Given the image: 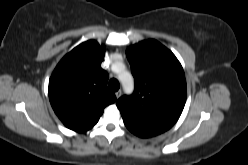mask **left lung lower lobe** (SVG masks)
<instances>
[{
	"label": "left lung lower lobe",
	"instance_id": "1",
	"mask_svg": "<svg viewBox=\"0 0 248 165\" xmlns=\"http://www.w3.org/2000/svg\"><path fill=\"white\" fill-rule=\"evenodd\" d=\"M126 127L135 135L139 136V137H143V138H146V137H151V136H155L157 135L156 133H153V132H149V131H145V130H142V129H139L137 127H134L132 126L131 124H128L124 121Z\"/></svg>",
	"mask_w": 248,
	"mask_h": 165
}]
</instances>
